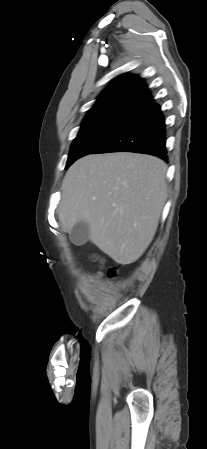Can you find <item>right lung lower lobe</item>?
Segmentation results:
<instances>
[{
  "instance_id": "1",
  "label": "right lung lower lobe",
  "mask_w": 207,
  "mask_h": 449,
  "mask_svg": "<svg viewBox=\"0 0 207 449\" xmlns=\"http://www.w3.org/2000/svg\"><path fill=\"white\" fill-rule=\"evenodd\" d=\"M165 120L159 105L153 103L140 110L118 129L94 153L136 152L167 160Z\"/></svg>"
}]
</instances>
